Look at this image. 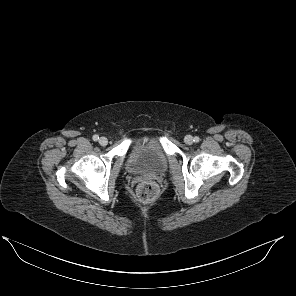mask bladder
Instances as JSON below:
<instances>
[{
  "label": "bladder",
  "instance_id": "1",
  "mask_svg": "<svg viewBox=\"0 0 296 296\" xmlns=\"http://www.w3.org/2000/svg\"><path fill=\"white\" fill-rule=\"evenodd\" d=\"M167 167V156L157 138L140 140L128 152L126 168L133 174L158 175Z\"/></svg>",
  "mask_w": 296,
  "mask_h": 296
}]
</instances>
